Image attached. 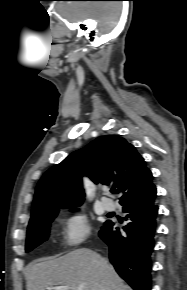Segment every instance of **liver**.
<instances>
[{
  "label": "liver",
  "instance_id": "obj_1",
  "mask_svg": "<svg viewBox=\"0 0 187 290\" xmlns=\"http://www.w3.org/2000/svg\"><path fill=\"white\" fill-rule=\"evenodd\" d=\"M25 277L27 290L63 285L77 290H131L111 264L86 248L33 262L27 267Z\"/></svg>",
  "mask_w": 187,
  "mask_h": 290
}]
</instances>
